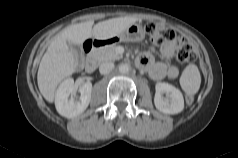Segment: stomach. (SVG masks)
Instances as JSON below:
<instances>
[{
  "instance_id": "obj_1",
  "label": "stomach",
  "mask_w": 238,
  "mask_h": 158,
  "mask_svg": "<svg viewBox=\"0 0 238 158\" xmlns=\"http://www.w3.org/2000/svg\"><path fill=\"white\" fill-rule=\"evenodd\" d=\"M145 37V31L140 24H132L124 29L118 35L109 38L110 43L117 42H138L142 41Z\"/></svg>"
}]
</instances>
